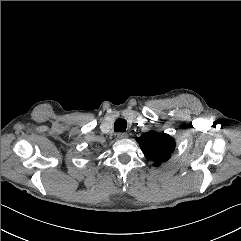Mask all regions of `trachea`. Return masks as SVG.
<instances>
[{"mask_svg": "<svg viewBox=\"0 0 241 241\" xmlns=\"http://www.w3.org/2000/svg\"><path fill=\"white\" fill-rule=\"evenodd\" d=\"M127 127V121L125 119H117L114 123V130L118 132H124Z\"/></svg>", "mask_w": 241, "mask_h": 241, "instance_id": "obj_1", "label": "trachea"}]
</instances>
